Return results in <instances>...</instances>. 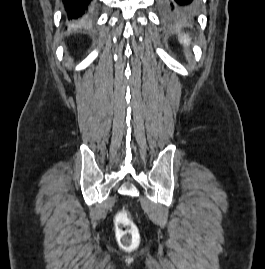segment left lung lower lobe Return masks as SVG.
Masks as SVG:
<instances>
[{"instance_id":"obj_1","label":"left lung lower lobe","mask_w":265,"mask_h":269,"mask_svg":"<svg viewBox=\"0 0 265 269\" xmlns=\"http://www.w3.org/2000/svg\"><path fill=\"white\" fill-rule=\"evenodd\" d=\"M160 12L168 21L188 19L198 11V0H158Z\"/></svg>"}]
</instances>
